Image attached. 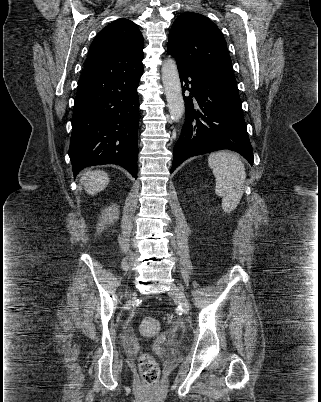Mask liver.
Instances as JSON below:
<instances>
[{"instance_id": "1", "label": "liver", "mask_w": 321, "mask_h": 402, "mask_svg": "<svg viewBox=\"0 0 321 402\" xmlns=\"http://www.w3.org/2000/svg\"><path fill=\"white\" fill-rule=\"evenodd\" d=\"M80 181L88 194L95 195L107 187L109 177L107 173L101 170L88 171L81 177Z\"/></svg>"}]
</instances>
